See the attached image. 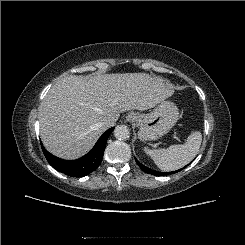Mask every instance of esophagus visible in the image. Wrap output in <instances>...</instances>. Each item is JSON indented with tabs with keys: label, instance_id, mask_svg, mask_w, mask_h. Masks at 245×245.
Wrapping results in <instances>:
<instances>
[{
	"label": "esophagus",
	"instance_id": "obj_1",
	"mask_svg": "<svg viewBox=\"0 0 245 245\" xmlns=\"http://www.w3.org/2000/svg\"><path fill=\"white\" fill-rule=\"evenodd\" d=\"M137 119V116L135 113H130L126 116L127 122H134Z\"/></svg>",
	"mask_w": 245,
	"mask_h": 245
}]
</instances>
